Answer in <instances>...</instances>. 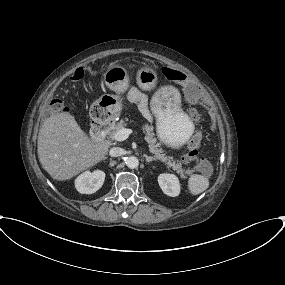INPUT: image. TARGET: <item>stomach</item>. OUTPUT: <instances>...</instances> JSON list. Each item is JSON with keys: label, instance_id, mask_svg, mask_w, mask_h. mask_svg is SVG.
Instances as JSON below:
<instances>
[{"label": "stomach", "instance_id": "stomach-1", "mask_svg": "<svg viewBox=\"0 0 285 285\" xmlns=\"http://www.w3.org/2000/svg\"><path fill=\"white\" fill-rule=\"evenodd\" d=\"M137 84L143 91L152 90L157 83L156 71L150 66L137 73ZM105 85L116 95L105 94L90 107L89 115L97 124H108L121 114L120 94L129 87V74L122 65H111L103 75ZM181 96L173 86L158 89L151 99V110L156 117L159 139L171 148L184 145L193 133V124L180 108Z\"/></svg>", "mask_w": 285, "mask_h": 285}]
</instances>
